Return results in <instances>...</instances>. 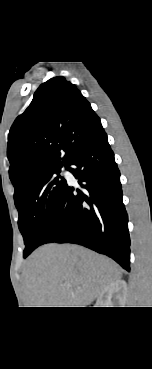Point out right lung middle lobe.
Here are the masks:
<instances>
[{"mask_svg": "<svg viewBox=\"0 0 152 369\" xmlns=\"http://www.w3.org/2000/svg\"><path fill=\"white\" fill-rule=\"evenodd\" d=\"M62 167L55 166L38 174L19 195L14 196L19 212L18 226L25 243L24 258L42 244L50 229L67 185L60 175Z\"/></svg>", "mask_w": 152, "mask_h": 369, "instance_id": "dd1d6c3e", "label": "right lung middle lobe"}]
</instances>
